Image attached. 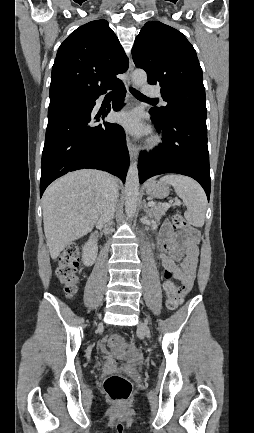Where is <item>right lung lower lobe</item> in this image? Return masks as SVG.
Instances as JSON below:
<instances>
[{
    "instance_id": "1",
    "label": "right lung lower lobe",
    "mask_w": 254,
    "mask_h": 433,
    "mask_svg": "<svg viewBox=\"0 0 254 433\" xmlns=\"http://www.w3.org/2000/svg\"><path fill=\"white\" fill-rule=\"evenodd\" d=\"M114 89L112 108L119 111L125 87L121 83ZM99 95H62L50 99L40 197L55 179L83 168L106 170L125 182L129 166L125 133L118 124H98L110 112V106L102 114H91Z\"/></svg>"
}]
</instances>
